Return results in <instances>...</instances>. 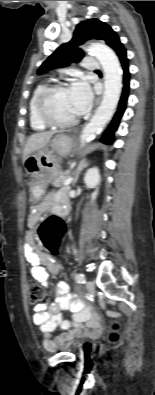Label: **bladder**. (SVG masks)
<instances>
[{"label":"bladder","mask_w":155,"mask_h":395,"mask_svg":"<svg viewBox=\"0 0 155 395\" xmlns=\"http://www.w3.org/2000/svg\"><path fill=\"white\" fill-rule=\"evenodd\" d=\"M95 343L90 339L71 340L64 343L60 350L63 352L87 354L94 350Z\"/></svg>","instance_id":"bladder-1"}]
</instances>
